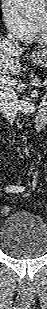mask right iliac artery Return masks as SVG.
I'll use <instances>...</instances> for the list:
<instances>
[{"instance_id":"82829eb1","label":"right iliac artery","mask_w":47,"mask_h":309,"mask_svg":"<svg viewBox=\"0 0 47 309\" xmlns=\"http://www.w3.org/2000/svg\"><path fill=\"white\" fill-rule=\"evenodd\" d=\"M23 190H24V188L18 187V186L7 187L8 192H22Z\"/></svg>"}]
</instances>
